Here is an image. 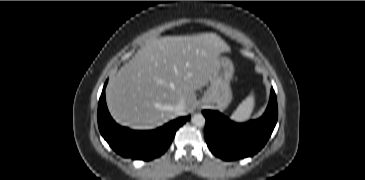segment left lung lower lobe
Instances as JSON below:
<instances>
[{
  "label": "left lung lower lobe",
  "mask_w": 365,
  "mask_h": 180,
  "mask_svg": "<svg viewBox=\"0 0 365 180\" xmlns=\"http://www.w3.org/2000/svg\"><path fill=\"white\" fill-rule=\"evenodd\" d=\"M205 140L212 153L224 160L256 154L267 142L278 118L277 99L271 88L268 107L260 119L234 123L217 111L204 110Z\"/></svg>",
  "instance_id": "1"
}]
</instances>
